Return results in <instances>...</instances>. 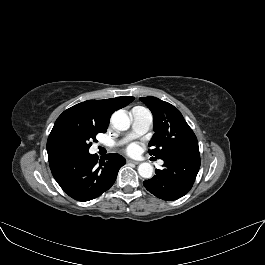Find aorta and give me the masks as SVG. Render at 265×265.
<instances>
[{"label": "aorta", "mask_w": 265, "mask_h": 265, "mask_svg": "<svg viewBox=\"0 0 265 265\" xmlns=\"http://www.w3.org/2000/svg\"><path fill=\"white\" fill-rule=\"evenodd\" d=\"M110 121L114 128L119 131L128 130L131 123L129 116L123 111L114 112ZM138 173L143 178H151L153 174V166L147 162L141 163L138 166Z\"/></svg>", "instance_id": "762f6f07"}]
</instances>
